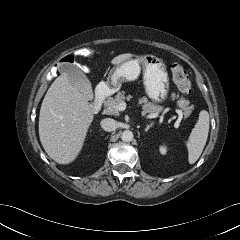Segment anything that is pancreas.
Listing matches in <instances>:
<instances>
[{"label": "pancreas", "instance_id": "obj_1", "mask_svg": "<svg viewBox=\"0 0 240 240\" xmlns=\"http://www.w3.org/2000/svg\"><path fill=\"white\" fill-rule=\"evenodd\" d=\"M173 97H175V95H173ZM131 98V95L125 96V91L118 92L114 98L108 97L104 101V112L109 115H119L117 105L125 99L129 101ZM138 103L142 104V115L158 114L162 110L161 106L148 102L146 98H139ZM189 104L190 102L184 98L178 101V106L184 111L185 117H188L192 112V107L189 106Z\"/></svg>", "mask_w": 240, "mask_h": 240}]
</instances>
